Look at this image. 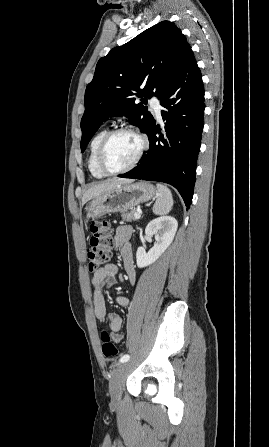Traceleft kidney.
Returning a JSON list of instances; mask_svg holds the SVG:
<instances>
[{"label":"left kidney","mask_w":269,"mask_h":447,"mask_svg":"<svg viewBox=\"0 0 269 447\" xmlns=\"http://www.w3.org/2000/svg\"><path fill=\"white\" fill-rule=\"evenodd\" d=\"M177 227L178 224L172 216L156 218V220H152V222L146 225V235H149V237L155 235L156 241L148 253H146L145 247H137L136 261L138 267H146V265L154 263L162 255L163 251L172 243Z\"/></svg>","instance_id":"5707ae66"}]
</instances>
